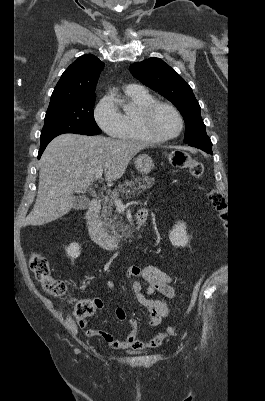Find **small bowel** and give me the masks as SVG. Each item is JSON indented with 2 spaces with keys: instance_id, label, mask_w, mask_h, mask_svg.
Returning a JSON list of instances; mask_svg holds the SVG:
<instances>
[{
  "instance_id": "c3829d8e",
  "label": "small bowel",
  "mask_w": 265,
  "mask_h": 401,
  "mask_svg": "<svg viewBox=\"0 0 265 401\" xmlns=\"http://www.w3.org/2000/svg\"><path fill=\"white\" fill-rule=\"evenodd\" d=\"M126 276L130 279H134L132 282V291L136 300L147 308L150 315L149 325L152 327L158 326L162 320L170 314V307L167 302L152 298V296L159 293L167 298H175L178 295V290L174 285V277L155 266H147L144 268H139L137 266L129 267L126 271ZM105 285L113 292L116 290V285L112 280H106ZM143 285L146 286L145 292L143 291ZM101 306L102 303L100 304V307ZM115 315L120 322L124 321L126 318V312L122 307L116 309ZM80 325L84 326L85 322H80ZM138 330V322L131 319L129 321V332L125 339L118 340L110 333L99 329L87 330L86 334L91 337L102 339L113 349L133 351L156 348L162 344L166 337L165 333H159L148 341H141L136 339Z\"/></svg>"
}]
</instances>
